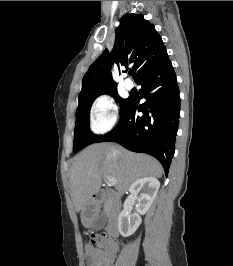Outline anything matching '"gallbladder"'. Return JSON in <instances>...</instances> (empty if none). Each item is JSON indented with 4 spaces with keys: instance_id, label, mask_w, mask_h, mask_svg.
I'll list each match as a JSON object with an SVG mask.
<instances>
[{
    "instance_id": "1",
    "label": "gallbladder",
    "mask_w": 233,
    "mask_h": 266,
    "mask_svg": "<svg viewBox=\"0 0 233 266\" xmlns=\"http://www.w3.org/2000/svg\"><path fill=\"white\" fill-rule=\"evenodd\" d=\"M107 221V217L103 211H101L94 219L90 229L92 231H98L104 228Z\"/></svg>"
}]
</instances>
